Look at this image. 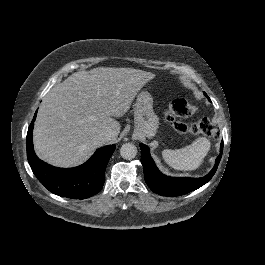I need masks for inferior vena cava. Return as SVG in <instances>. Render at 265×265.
Returning <instances> with one entry per match:
<instances>
[{"mask_svg":"<svg viewBox=\"0 0 265 265\" xmlns=\"http://www.w3.org/2000/svg\"><path fill=\"white\" fill-rule=\"evenodd\" d=\"M104 137L106 140L110 141L115 138V134L112 129L107 128L106 132L104 133Z\"/></svg>","mask_w":265,"mask_h":265,"instance_id":"inferior-vena-cava-1","label":"inferior vena cava"}]
</instances>
